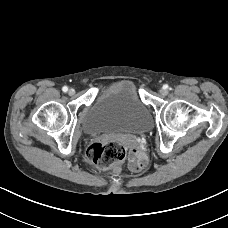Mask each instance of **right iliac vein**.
Returning <instances> with one entry per match:
<instances>
[{
    "label": "right iliac vein",
    "instance_id": "right-iliac-vein-1",
    "mask_svg": "<svg viewBox=\"0 0 228 228\" xmlns=\"http://www.w3.org/2000/svg\"><path fill=\"white\" fill-rule=\"evenodd\" d=\"M68 94L70 96L74 95L75 94V90L73 88L69 89Z\"/></svg>",
    "mask_w": 228,
    "mask_h": 228
}]
</instances>
